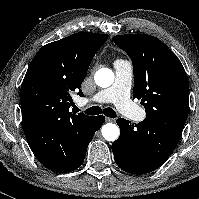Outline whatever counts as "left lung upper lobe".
<instances>
[{"instance_id": "5c2ea615", "label": "left lung upper lobe", "mask_w": 199, "mask_h": 199, "mask_svg": "<svg viewBox=\"0 0 199 199\" xmlns=\"http://www.w3.org/2000/svg\"><path fill=\"white\" fill-rule=\"evenodd\" d=\"M113 40L132 60L133 98L141 99L146 119L182 132L189 113V84L180 60L154 36L125 34Z\"/></svg>"}]
</instances>
